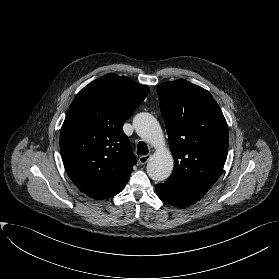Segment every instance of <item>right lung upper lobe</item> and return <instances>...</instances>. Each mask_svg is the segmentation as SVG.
Listing matches in <instances>:
<instances>
[{"label":"right lung upper lobe","instance_id":"obj_1","mask_svg":"<svg viewBox=\"0 0 279 279\" xmlns=\"http://www.w3.org/2000/svg\"><path fill=\"white\" fill-rule=\"evenodd\" d=\"M148 92V86L110 73L84 87L70 105L61 156L71 180L89 197H113L128 182L136 160L122 127Z\"/></svg>","mask_w":279,"mask_h":279}]
</instances>
